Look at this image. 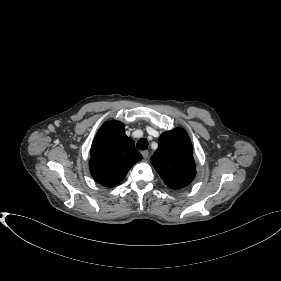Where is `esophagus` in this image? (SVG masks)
<instances>
[{
  "mask_svg": "<svg viewBox=\"0 0 281 281\" xmlns=\"http://www.w3.org/2000/svg\"><path fill=\"white\" fill-rule=\"evenodd\" d=\"M141 154L145 159L149 157V151L147 150L142 151Z\"/></svg>",
  "mask_w": 281,
  "mask_h": 281,
  "instance_id": "obj_1",
  "label": "esophagus"
}]
</instances>
